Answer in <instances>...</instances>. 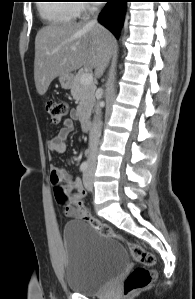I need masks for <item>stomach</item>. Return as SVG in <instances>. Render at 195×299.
I'll return each mask as SVG.
<instances>
[{
    "mask_svg": "<svg viewBox=\"0 0 195 299\" xmlns=\"http://www.w3.org/2000/svg\"><path fill=\"white\" fill-rule=\"evenodd\" d=\"M74 77L72 74H65L59 76V82L64 89H70L73 85Z\"/></svg>",
    "mask_w": 195,
    "mask_h": 299,
    "instance_id": "0dacf381",
    "label": "stomach"
}]
</instances>
